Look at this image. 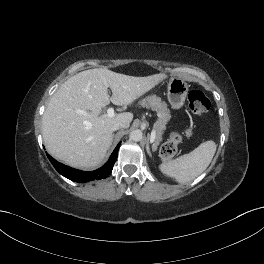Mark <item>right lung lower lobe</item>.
Instances as JSON below:
<instances>
[{
    "mask_svg": "<svg viewBox=\"0 0 264 264\" xmlns=\"http://www.w3.org/2000/svg\"><path fill=\"white\" fill-rule=\"evenodd\" d=\"M121 142L116 146L113 153L111 154L108 162L102 166L101 168L91 171V172H84L81 170L73 169L71 167H68L64 164L59 163L54 158H52L49 154H47V157L49 158L52 165L55 167V169L64 177L78 183H84L91 180H100L107 178L113 169L114 163L118 156V149L120 147Z\"/></svg>",
    "mask_w": 264,
    "mask_h": 264,
    "instance_id": "obj_1",
    "label": "right lung lower lobe"
}]
</instances>
